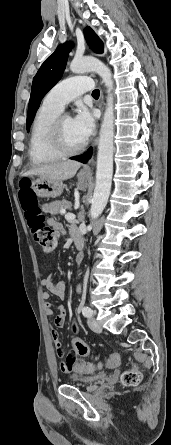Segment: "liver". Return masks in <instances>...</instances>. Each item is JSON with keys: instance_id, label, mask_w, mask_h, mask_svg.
Segmentation results:
<instances>
[{"instance_id": "6515ba94", "label": "liver", "mask_w": 171, "mask_h": 445, "mask_svg": "<svg viewBox=\"0 0 171 445\" xmlns=\"http://www.w3.org/2000/svg\"><path fill=\"white\" fill-rule=\"evenodd\" d=\"M81 164L76 161H65L48 164L28 170L23 176H38L41 178L63 181L72 178Z\"/></svg>"}]
</instances>
